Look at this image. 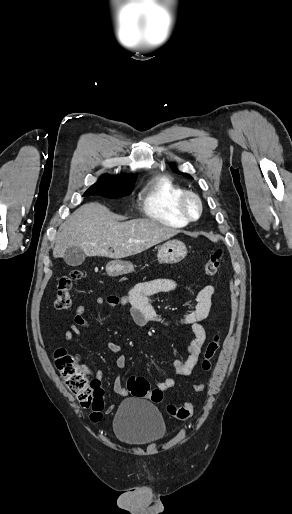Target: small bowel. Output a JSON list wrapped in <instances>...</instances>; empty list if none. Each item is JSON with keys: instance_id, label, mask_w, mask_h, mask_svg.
<instances>
[{"instance_id": "small-bowel-1", "label": "small bowel", "mask_w": 292, "mask_h": 514, "mask_svg": "<svg viewBox=\"0 0 292 514\" xmlns=\"http://www.w3.org/2000/svg\"><path fill=\"white\" fill-rule=\"evenodd\" d=\"M177 287L178 282L174 279H155L136 284L127 296H97L94 298V303L99 307L106 305L112 309H126L130 319L140 327H145L150 324H166L164 319L157 313L155 308L149 302L148 298L158 293L174 291ZM213 294L214 287L212 285L204 286L197 295V304L195 308L187 313L179 322V324L188 325L191 328L193 338L187 347L186 359L184 361L175 360L173 362V369L176 377L181 378L191 375L198 362V357L206 340V331L201 322L206 320L209 316ZM85 313L86 306L84 304H80L76 307L73 315V323L63 334L66 341L74 340V338L79 334L81 328L90 327L89 322L85 318ZM107 348L116 356V366L119 368L124 367L126 365V356L122 353V347L118 343L110 341L107 342ZM82 369L84 371H88L97 379L102 378V372L100 370H92L98 369V366L84 364ZM175 384L176 381L174 378H166L157 383V389L164 392L173 388ZM113 389L120 397H127L129 395L127 389L123 386L121 377L116 378L113 384ZM114 409L115 406L110 404L105 409V412L110 414Z\"/></svg>"}]
</instances>
